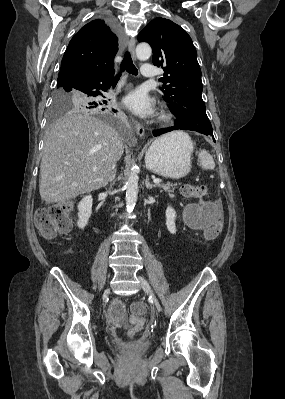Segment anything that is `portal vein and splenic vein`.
<instances>
[{
	"instance_id": "1",
	"label": "portal vein and splenic vein",
	"mask_w": 285,
	"mask_h": 399,
	"mask_svg": "<svg viewBox=\"0 0 285 399\" xmlns=\"http://www.w3.org/2000/svg\"><path fill=\"white\" fill-rule=\"evenodd\" d=\"M93 171H97V168H93ZM162 180L161 179H154L153 182L155 184H159Z\"/></svg>"
}]
</instances>
